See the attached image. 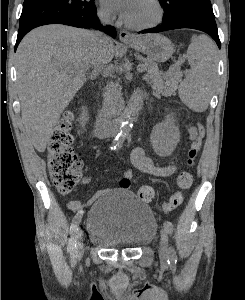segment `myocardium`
<instances>
[{"instance_id":"obj_1","label":"myocardium","mask_w":245,"mask_h":300,"mask_svg":"<svg viewBox=\"0 0 245 300\" xmlns=\"http://www.w3.org/2000/svg\"><path fill=\"white\" fill-rule=\"evenodd\" d=\"M150 2L154 5L156 11H157V15L156 18L150 22V23H146V24H135V23H131L128 22L127 20H124L125 25L128 28L134 29V30H147V29H152L156 26H158L164 18V9L163 6L160 2V0H150Z\"/></svg>"}]
</instances>
